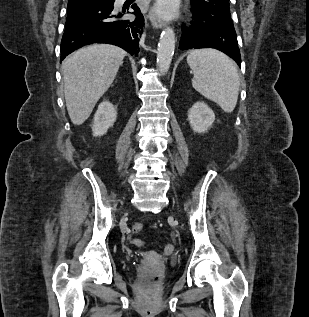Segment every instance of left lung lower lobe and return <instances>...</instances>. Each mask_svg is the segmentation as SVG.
<instances>
[{
  "instance_id": "0a47b994",
  "label": "left lung lower lobe",
  "mask_w": 309,
  "mask_h": 317,
  "mask_svg": "<svg viewBox=\"0 0 309 317\" xmlns=\"http://www.w3.org/2000/svg\"><path fill=\"white\" fill-rule=\"evenodd\" d=\"M192 12L194 21L188 27L182 26L179 49L215 48L227 54L241 67V55L234 26L195 10Z\"/></svg>"
}]
</instances>
